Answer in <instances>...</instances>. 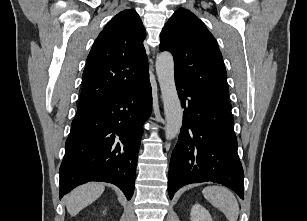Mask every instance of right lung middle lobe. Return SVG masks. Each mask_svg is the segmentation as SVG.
I'll return each instance as SVG.
<instances>
[{
	"label": "right lung middle lobe",
	"instance_id": "dd1d6c3e",
	"mask_svg": "<svg viewBox=\"0 0 307 221\" xmlns=\"http://www.w3.org/2000/svg\"><path fill=\"white\" fill-rule=\"evenodd\" d=\"M82 110H84V109H78L77 112H80V111H82Z\"/></svg>",
	"mask_w": 307,
	"mask_h": 221
}]
</instances>
